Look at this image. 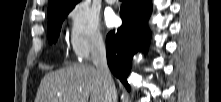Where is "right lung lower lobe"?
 Masks as SVG:
<instances>
[{"label":"right lung lower lobe","instance_id":"obj_1","mask_svg":"<svg viewBox=\"0 0 221 102\" xmlns=\"http://www.w3.org/2000/svg\"><path fill=\"white\" fill-rule=\"evenodd\" d=\"M151 10V0H126L120 10L122 26L117 31L109 32L106 37L108 66L128 90L127 76L133 55L148 47Z\"/></svg>","mask_w":221,"mask_h":102}]
</instances>
